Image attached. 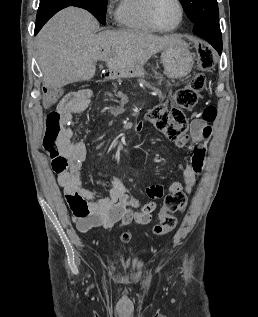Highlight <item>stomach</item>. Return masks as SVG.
Segmentation results:
<instances>
[{
	"label": "stomach",
	"instance_id": "stomach-1",
	"mask_svg": "<svg viewBox=\"0 0 258 317\" xmlns=\"http://www.w3.org/2000/svg\"><path fill=\"white\" fill-rule=\"evenodd\" d=\"M161 62L164 66L165 74L170 78H180L190 72L194 58L190 52V46L185 40H181L174 46L164 48L161 52Z\"/></svg>",
	"mask_w": 258,
	"mask_h": 317
}]
</instances>
